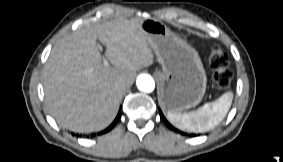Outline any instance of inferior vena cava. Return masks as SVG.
Here are the masks:
<instances>
[{"instance_id": "obj_1", "label": "inferior vena cava", "mask_w": 283, "mask_h": 162, "mask_svg": "<svg viewBox=\"0 0 283 162\" xmlns=\"http://www.w3.org/2000/svg\"><path fill=\"white\" fill-rule=\"evenodd\" d=\"M122 84H123L124 87L126 86V83H125V82H123Z\"/></svg>"}]
</instances>
